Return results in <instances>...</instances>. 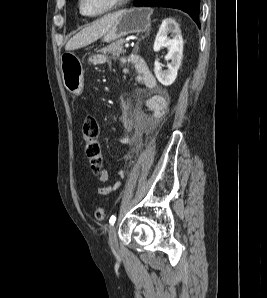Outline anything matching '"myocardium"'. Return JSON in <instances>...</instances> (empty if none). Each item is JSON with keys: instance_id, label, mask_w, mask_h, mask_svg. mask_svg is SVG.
<instances>
[{"instance_id": "obj_1", "label": "myocardium", "mask_w": 267, "mask_h": 298, "mask_svg": "<svg viewBox=\"0 0 267 298\" xmlns=\"http://www.w3.org/2000/svg\"><path fill=\"white\" fill-rule=\"evenodd\" d=\"M83 1L84 0H79V10H80V13L86 17H89V18H96V17H101V16H104L108 13H111L113 12L114 10L120 8L121 6H123L125 3H127L129 0H114L113 3L107 7L105 10L99 12V13H96V14H88L84 11L83 9Z\"/></svg>"}]
</instances>
